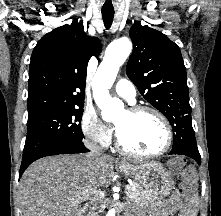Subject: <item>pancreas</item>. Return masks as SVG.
<instances>
[{"label":"pancreas","mask_w":221,"mask_h":216,"mask_svg":"<svg viewBox=\"0 0 221 216\" xmlns=\"http://www.w3.org/2000/svg\"><path fill=\"white\" fill-rule=\"evenodd\" d=\"M126 194L131 202L138 205H147L149 203H152L154 200L151 195L146 194L143 188L137 183H134L131 186V189L126 191Z\"/></svg>","instance_id":"obj_1"}]
</instances>
